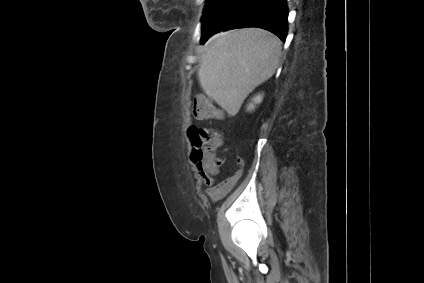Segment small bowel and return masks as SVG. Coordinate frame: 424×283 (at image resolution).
<instances>
[{
  "label": "small bowel",
  "mask_w": 424,
  "mask_h": 283,
  "mask_svg": "<svg viewBox=\"0 0 424 283\" xmlns=\"http://www.w3.org/2000/svg\"><path fill=\"white\" fill-rule=\"evenodd\" d=\"M223 163V160L218 159L216 167H209L201 163L196 164L198 178L206 186L205 194L214 201L225 197L236 186L243 173V159L237 157L234 173L224 180L216 182V177L219 175Z\"/></svg>",
  "instance_id": "1"
}]
</instances>
